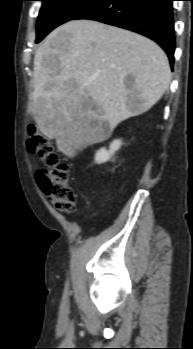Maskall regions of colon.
I'll list each match as a JSON object with an SVG mask.
<instances>
[{"label": "colon", "mask_w": 193, "mask_h": 349, "mask_svg": "<svg viewBox=\"0 0 193 349\" xmlns=\"http://www.w3.org/2000/svg\"><path fill=\"white\" fill-rule=\"evenodd\" d=\"M27 148L45 166L36 174L42 191L59 210L72 212L76 194L69 183V167L61 162L51 140L32 124L27 129Z\"/></svg>", "instance_id": "1"}]
</instances>
